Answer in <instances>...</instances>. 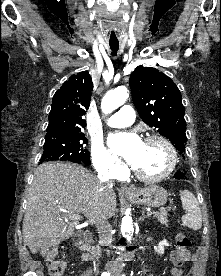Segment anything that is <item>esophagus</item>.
Instances as JSON below:
<instances>
[{"instance_id": "esophagus-1", "label": "esophagus", "mask_w": 221, "mask_h": 276, "mask_svg": "<svg viewBox=\"0 0 221 276\" xmlns=\"http://www.w3.org/2000/svg\"><path fill=\"white\" fill-rule=\"evenodd\" d=\"M135 190L131 187L128 186H122L121 187V192L122 193H133Z\"/></svg>"}]
</instances>
